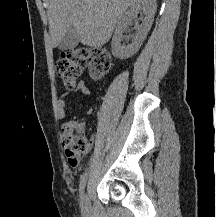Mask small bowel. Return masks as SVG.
Here are the masks:
<instances>
[{
  "instance_id": "obj_1",
  "label": "small bowel",
  "mask_w": 216,
  "mask_h": 217,
  "mask_svg": "<svg viewBox=\"0 0 216 217\" xmlns=\"http://www.w3.org/2000/svg\"><path fill=\"white\" fill-rule=\"evenodd\" d=\"M72 92H77L86 96H90L92 94L90 87L84 81H81L74 87L69 88L58 99V116L60 119H63L66 116V107H67L66 99L68 95ZM91 113H92V108L88 106L86 108V114L89 115ZM62 138H64V133H62Z\"/></svg>"
}]
</instances>
